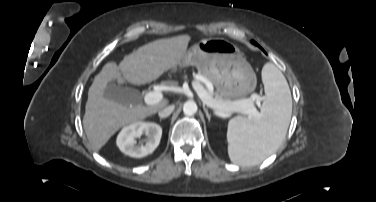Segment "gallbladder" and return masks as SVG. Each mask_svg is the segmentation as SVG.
Returning <instances> with one entry per match:
<instances>
[{
  "label": "gallbladder",
  "instance_id": "1",
  "mask_svg": "<svg viewBox=\"0 0 376 202\" xmlns=\"http://www.w3.org/2000/svg\"><path fill=\"white\" fill-rule=\"evenodd\" d=\"M138 96L139 92L135 88L115 83H108L104 90L105 98L121 104L135 103L137 102Z\"/></svg>",
  "mask_w": 376,
  "mask_h": 202
}]
</instances>
